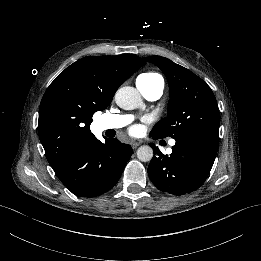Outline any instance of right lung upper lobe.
I'll return each instance as SVG.
<instances>
[{
	"mask_svg": "<svg viewBox=\"0 0 261 261\" xmlns=\"http://www.w3.org/2000/svg\"><path fill=\"white\" fill-rule=\"evenodd\" d=\"M145 64L138 56L84 57L62 71L46 90L38 134L53 169L91 145L89 126L106 109L120 85Z\"/></svg>",
	"mask_w": 261,
	"mask_h": 261,
	"instance_id": "obj_1",
	"label": "right lung upper lobe"
}]
</instances>
